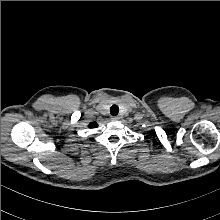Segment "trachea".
Listing matches in <instances>:
<instances>
[{"label": "trachea", "mask_w": 220, "mask_h": 220, "mask_svg": "<svg viewBox=\"0 0 220 220\" xmlns=\"http://www.w3.org/2000/svg\"><path fill=\"white\" fill-rule=\"evenodd\" d=\"M119 112V107L117 105H112L110 108V113L113 116H116Z\"/></svg>", "instance_id": "obj_1"}]
</instances>
